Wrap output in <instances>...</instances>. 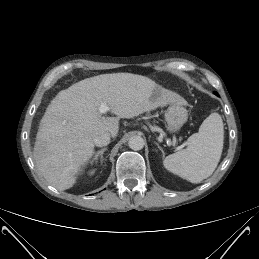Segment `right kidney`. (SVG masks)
Wrapping results in <instances>:
<instances>
[{
    "instance_id": "ca27d5eb",
    "label": "right kidney",
    "mask_w": 259,
    "mask_h": 259,
    "mask_svg": "<svg viewBox=\"0 0 259 259\" xmlns=\"http://www.w3.org/2000/svg\"><path fill=\"white\" fill-rule=\"evenodd\" d=\"M89 174H90V175L94 174V170H91V171L89 172Z\"/></svg>"
}]
</instances>
